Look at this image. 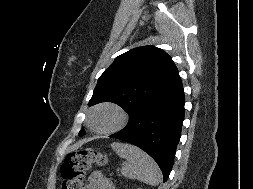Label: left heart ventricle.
Instances as JSON below:
<instances>
[{
  "label": "left heart ventricle",
  "mask_w": 253,
  "mask_h": 189,
  "mask_svg": "<svg viewBox=\"0 0 253 189\" xmlns=\"http://www.w3.org/2000/svg\"><path fill=\"white\" fill-rule=\"evenodd\" d=\"M116 122V114L109 109L100 110L93 117V126L99 130L111 128Z\"/></svg>",
  "instance_id": "obj_1"
}]
</instances>
